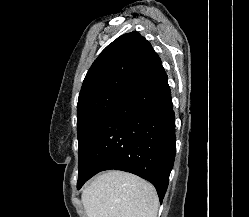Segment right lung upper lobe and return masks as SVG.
Instances as JSON below:
<instances>
[{
	"label": "right lung upper lobe",
	"instance_id": "right-lung-upper-lobe-1",
	"mask_svg": "<svg viewBox=\"0 0 249 217\" xmlns=\"http://www.w3.org/2000/svg\"><path fill=\"white\" fill-rule=\"evenodd\" d=\"M160 62L151 44L138 32L118 37L88 70L78 105L105 92L128 91Z\"/></svg>",
	"mask_w": 249,
	"mask_h": 217
}]
</instances>
